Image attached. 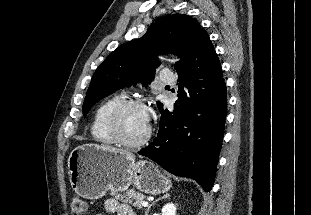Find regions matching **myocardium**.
Here are the masks:
<instances>
[{
    "instance_id": "f54148a6",
    "label": "myocardium",
    "mask_w": 311,
    "mask_h": 215,
    "mask_svg": "<svg viewBox=\"0 0 311 215\" xmlns=\"http://www.w3.org/2000/svg\"><path fill=\"white\" fill-rule=\"evenodd\" d=\"M132 107H141L147 111L149 110L148 106L141 99H125L118 103L110 112L108 117V128L114 140L119 145L127 148H139L149 141L152 134V129L149 125L145 136L138 141H129L125 138L122 127L123 116L125 112Z\"/></svg>"
}]
</instances>
